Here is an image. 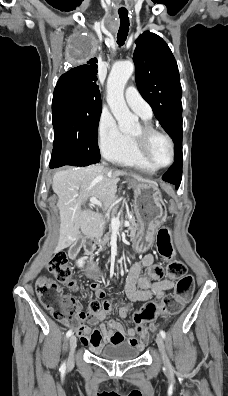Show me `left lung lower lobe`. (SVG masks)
I'll return each mask as SVG.
<instances>
[{"mask_svg":"<svg viewBox=\"0 0 228 396\" xmlns=\"http://www.w3.org/2000/svg\"><path fill=\"white\" fill-rule=\"evenodd\" d=\"M174 152H175L174 163L168 169V171L163 175L162 179L166 182L176 185V189H178L182 177V163H183L182 138L178 139L175 142Z\"/></svg>","mask_w":228,"mask_h":396,"instance_id":"0a47b994","label":"left lung lower lobe"}]
</instances>
